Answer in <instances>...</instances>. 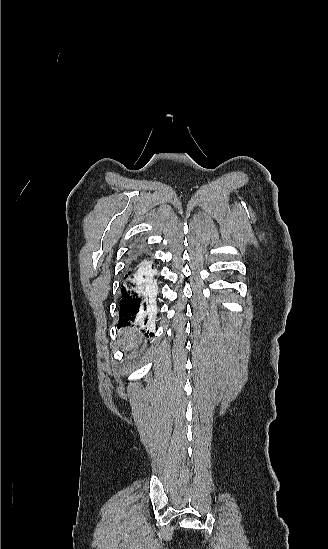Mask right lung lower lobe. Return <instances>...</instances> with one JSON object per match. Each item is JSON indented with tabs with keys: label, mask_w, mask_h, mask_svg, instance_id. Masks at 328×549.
Returning a JSON list of instances; mask_svg holds the SVG:
<instances>
[{
	"label": "right lung lower lobe",
	"mask_w": 328,
	"mask_h": 549,
	"mask_svg": "<svg viewBox=\"0 0 328 549\" xmlns=\"http://www.w3.org/2000/svg\"><path fill=\"white\" fill-rule=\"evenodd\" d=\"M155 270L151 261L132 259L129 271L126 273L119 298V325L126 326L138 319L144 324L148 319L147 310L148 293L153 288Z\"/></svg>",
	"instance_id": "1"
}]
</instances>
